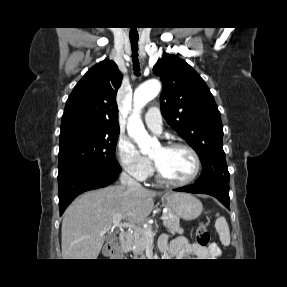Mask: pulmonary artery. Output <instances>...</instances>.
I'll list each match as a JSON object with an SVG mask.
<instances>
[{
  "label": "pulmonary artery",
  "mask_w": 287,
  "mask_h": 287,
  "mask_svg": "<svg viewBox=\"0 0 287 287\" xmlns=\"http://www.w3.org/2000/svg\"><path fill=\"white\" fill-rule=\"evenodd\" d=\"M145 123L149 129L154 132H160L162 130V118L159 109L156 107L150 108L144 117Z\"/></svg>",
  "instance_id": "pulmonary-artery-1"
}]
</instances>
